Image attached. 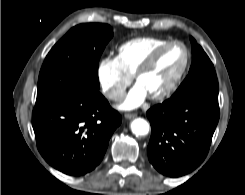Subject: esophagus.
<instances>
[{
    "label": "esophagus",
    "mask_w": 245,
    "mask_h": 195,
    "mask_svg": "<svg viewBox=\"0 0 245 195\" xmlns=\"http://www.w3.org/2000/svg\"><path fill=\"white\" fill-rule=\"evenodd\" d=\"M124 116H125L126 119H133V118L136 117V114H134V113H126Z\"/></svg>",
    "instance_id": "1"
}]
</instances>
